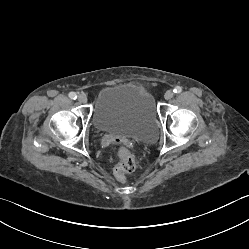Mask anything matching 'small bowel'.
Segmentation results:
<instances>
[{
  "label": "small bowel",
  "mask_w": 249,
  "mask_h": 249,
  "mask_svg": "<svg viewBox=\"0 0 249 249\" xmlns=\"http://www.w3.org/2000/svg\"><path fill=\"white\" fill-rule=\"evenodd\" d=\"M138 86H140L141 88H143V87L141 86V84H138Z\"/></svg>",
  "instance_id": "obj_1"
}]
</instances>
